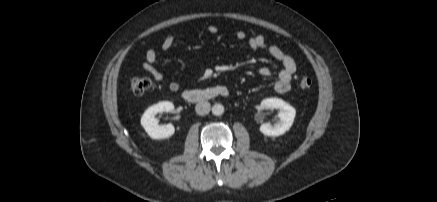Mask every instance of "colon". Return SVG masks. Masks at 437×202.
Listing matches in <instances>:
<instances>
[{
  "label": "colon",
  "instance_id": "colon-1",
  "mask_svg": "<svg viewBox=\"0 0 437 202\" xmlns=\"http://www.w3.org/2000/svg\"><path fill=\"white\" fill-rule=\"evenodd\" d=\"M129 86L135 95H142L151 87V81L146 77H132ZM312 86V80L308 76H302L299 80V87L302 90H308Z\"/></svg>",
  "mask_w": 437,
  "mask_h": 202
}]
</instances>
